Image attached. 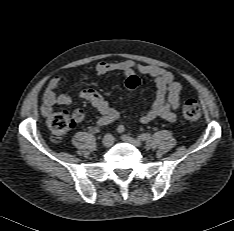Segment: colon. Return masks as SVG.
I'll return each mask as SVG.
<instances>
[{
    "label": "colon",
    "mask_w": 234,
    "mask_h": 231,
    "mask_svg": "<svg viewBox=\"0 0 234 231\" xmlns=\"http://www.w3.org/2000/svg\"><path fill=\"white\" fill-rule=\"evenodd\" d=\"M140 80L136 75H130L126 79V87L129 90L136 89ZM182 113L187 120L195 121L201 116V107L197 100L186 99L183 102ZM47 126L55 139L62 138L73 126V120L67 112H53L47 115Z\"/></svg>",
    "instance_id": "5ec220e1"
}]
</instances>
